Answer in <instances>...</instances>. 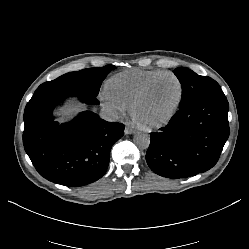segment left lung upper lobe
<instances>
[{
  "label": "left lung upper lobe",
  "mask_w": 249,
  "mask_h": 249,
  "mask_svg": "<svg viewBox=\"0 0 249 249\" xmlns=\"http://www.w3.org/2000/svg\"><path fill=\"white\" fill-rule=\"evenodd\" d=\"M174 74L182 84V98L179 107L193 100L212 94H222L219 84L210 77L200 76L186 67H178Z\"/></svg>",
  "instance_id": "obj_1"
}]
</instances>
